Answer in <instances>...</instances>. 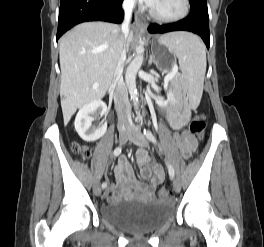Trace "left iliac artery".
Segmentation results:
<instances>
[{
	"mask_svg": "<svg viewBox=\"0 0 264 247\" xmlns=\"http://www.w3.org/2000/svg\"><path fill=\"white\" fill-rule=\"evenodd\" d=\"M144 135L152 143H154V144L157 143L156 137L154 136V134L149 129H144ZM168 172H169V176L171 177V179H173L175 173H174L173 167L170 164L168 165Z\"/></svg>",
	"mask_w": 264,
	"mask_h": 247,
	"instance_id": "left-iliac-artery-1",
	"label": "left iliac artery"
}]
</instances>
